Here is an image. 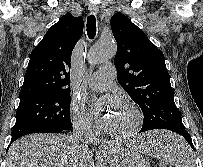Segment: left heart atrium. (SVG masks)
Returning <instances> with one entry per match:
<instances>
[{
	"label": "left heart atrium",
	"mask_w": 203,
	"mask_h": 167,
	"mask_svg": "<svg viewBox=\"0 0 203 167\" xmlns=\"http://www.w3.org/2000/svg\"><path fill=\"white\" fill-rule=\"evenodd\" d=\"M111 116H112V114H111V115H104V116L100 117L99 123H100L104 128H107V127H108V124H109V122H110Z\"/></svg>",
	"instance_id": "left-heart-atrium-1"
}]
</instances>
